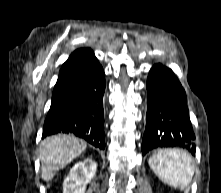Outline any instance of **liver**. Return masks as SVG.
<instances>
[{
    "label": "liver",
    "mask_w": 221,
    "mask_h": 193,
    "mask_svg": "<svg viewBox=\"0 0 221 193\" xmlns=\"http://www.w3.org/2000/svg\"><path fill=\"white\" fill-rule=\"evenodd\" d=\"M86 143L70 135L47 137L40 145L41 176L49 182L57 171L85 151Z\"/></svg>",
    "instance_id": "liver-1"
}]
</instances>
